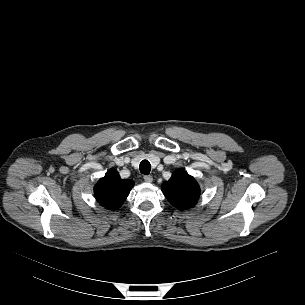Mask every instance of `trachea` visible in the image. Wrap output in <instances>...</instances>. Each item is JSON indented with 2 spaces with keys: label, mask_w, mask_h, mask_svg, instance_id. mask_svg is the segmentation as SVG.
I'll return each instance as SVG.
<instances>
[{
  "label": "trachea",
  "mask_w": 305,
  "mask_h": 305,
  "mask_svg": "<svg viewBox=\"0 0 305 305\" xmlns=\"http://www.w3.org/2000/svg\"><path fill=\"white\" fill-rule=\"evenodd\" d=\"M140 172L142 174L148 175L151 170V164L148 160H143L139 166Z\"/></svg>",
  "instance_id": "obj_1"
}]
</instances>
